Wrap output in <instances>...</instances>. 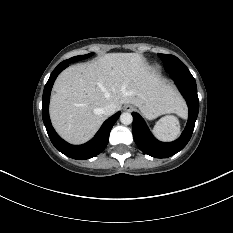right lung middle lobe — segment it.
Listing matches in <instances>:
<instances>
[{"label":"right lung middle lobe","mask_w":233,"mask_h":233,"mask_svg":"<svg viewBox=\"0 0 233 233\" xmlns=\"http://www.w3.org/2000/svg\"><path fill=\"white\" fill-rule=\"evenodd\" d=\"M91 55H93V53L86 54V55L75 56V57H72V58H70L68 60H65L63 62H65V63H72V62H76V61L82 60L84 58L90 57Z\"/></svg>","instance_id":"obj_1"}]
</instances>
